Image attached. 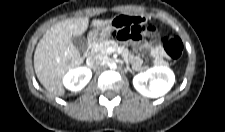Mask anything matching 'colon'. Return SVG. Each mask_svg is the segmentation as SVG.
Returning <instances> with one entry per match:
<instances>
[{"instance_id":"1","label":"colon","mask_w":225,"mask_h":132,"mask_svg":"<svg viewBox=\"0 0 225 132\" xmlns=\"http://www.w3.org/2000/svg\"><path fill=\"white\" fill-rule=\"evenodd\" d=\"M154 29L152 24H137L133 26H123L115 30L114 35L122 40L138 41L145 37L147 33L152 32ZM162 47L165 54L172 60H179L182 56V42L176 35L165 36L162 40Z\"/></svg>"}]
</instances>
